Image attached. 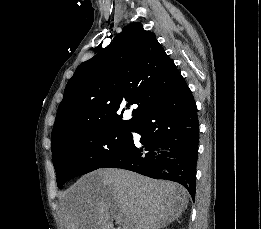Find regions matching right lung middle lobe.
Wrapping results in <instances>:
<instances>
[{"label":"right lung middle lobe","instance_id":"1","mask_svg":"<svg viewBox=\"0 0 261 229\" xmlns=\"http://www.w3.org/2000/svg\"><path fill=\"white\" fill-rule=\"evenodd\" d=\"M132 141L130 131L112 127L95 126L77 130L52 150L58 187L62 188L73 177L101 168L127 149Z\"/></svg>","mask_w":261,"mask_h":229}]
</instances>
